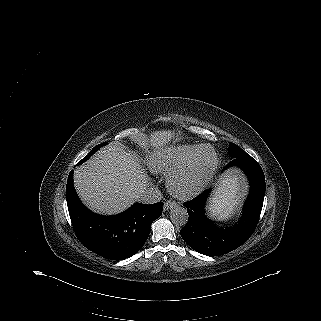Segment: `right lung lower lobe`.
Here are the masks:
<instances>
[{
  "instance_id": "98d812e1",
  "label": "right lung lower lobe",
  "mask_w": 321,
  "mask_h": 321,
  "mask_svg": "<svg viewBox=\"0 0 321 321\" xmlns=\"http://www.w3.org/2000/svg\"><path fill=\"white\" fill-rule=\"evenodd\" d=\"M66 199L73 229L80 242L92 252L111 260L133 256L147 240L151 224L162 214L163 203H136L125 212L103 216L91 212L79 200L70 172Z\"/></svg>"
}]
</instances>
